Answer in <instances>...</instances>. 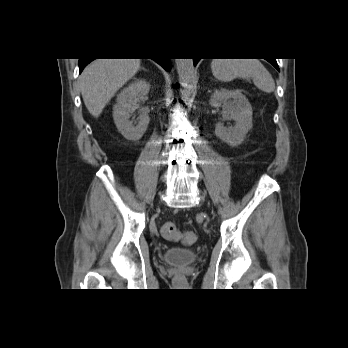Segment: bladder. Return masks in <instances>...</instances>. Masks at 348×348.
Segmentation results:
<instances>
[{
  "instance_id": "1",
  "label": "bladder",
  "mask_w": 348,
  "mask_h": 348,
  "mask_svg": "<svg viewBox=\"0 0 348 348\" xmlns=\"http://www.w3.org/2000/svg\"><path fill=\"white\" fill-rule=\"evenodd\" d=\"M199 254L196 250L181 248V247H171L165 251L163 254V261L169 264H189L196 261Z\"/></svg>"
}]
</instances>
